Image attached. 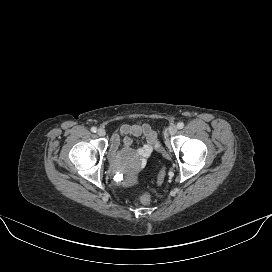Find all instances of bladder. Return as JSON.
I'll return each mask as SVG.
<instances>
[{
  "label": "bladder",
  "mask_w": 272,
  "mask_h": 272,
  "mask_svg": "<svg viewBox=\"0 0 272 272\" xmlns=\"http://www.w3.org/2000/svg\"><path fill=\"white\" fill-rule=\"evenodd\" d=\"M113 160H114V155L110 151L109 154H108V161L113 162Z\"/></svg>",
  "instance_id": "obj_1"
}]
</instances>
